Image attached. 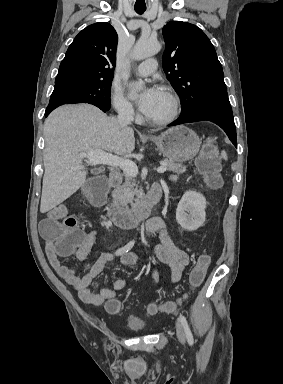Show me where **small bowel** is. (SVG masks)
I'll return each mask as SVG.
<instances>
[{"mask_svg":"<svg viewBox=\"0 0 283 384\" xmlns=\"http://www.w3.org/2000/svg\"><path fill=\"white\" fill-rule=\"evenodd\" d=\"M68 211L64 205H58L53 208L44 220H60L67 217ZM147 235L158 233L160 243L154 247L153 253L157 260L170 266V282L178 281L184 269L189 263L188 254L177 246L169 235L165 221L160 217L150 218L145 225ZM96 232L88 234L86 242L77 251V257L84 260L92 246ZM46 256L49 263L67 283H69L77 292L81 300L90 305H101L109 300H114L118 292L126 287L125 279H117L110 288H103L98 292L89 289L92 281L97 278L105 266L113 260L111 253H102L94 262L90 272L84 276H79L75 270L63 265L60 261V255L57 253L52 240L45 238ZM141 260L136 254L128 252L121 256V262L125 265H135ZM151 278L158 282L159 273L156 268L151 270Z\"/></svg>","mask_w":283,"mask_h":384,"instance_id":"c3829d8e","label":"small bowel"}]
</instances>
